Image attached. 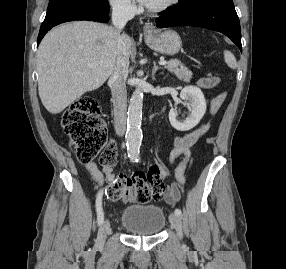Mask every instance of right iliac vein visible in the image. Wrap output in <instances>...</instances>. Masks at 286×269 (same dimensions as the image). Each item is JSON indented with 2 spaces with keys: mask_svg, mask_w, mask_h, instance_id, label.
<instances>
[{
  "mask_svg": "<svg viewBox=\"0 0 286 269\" xmlns=\"http://www.w3.org/2000/svg\"><path fill=\"white\" fill-rule=\"evenodd\" d=\"M109 229H110V222L109 220H105L101 224L99 231H98V238H97V243H96V246L98 248H103Z\"/></svg>",
  "mask_w": 286,
  "mask_h": 269,
  "instance_id": "obj_1",
  "label": "right iliac vein"
}]
</instances>
